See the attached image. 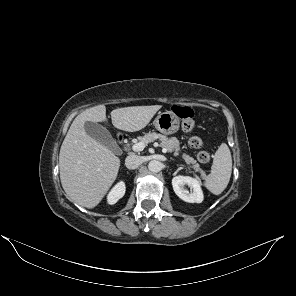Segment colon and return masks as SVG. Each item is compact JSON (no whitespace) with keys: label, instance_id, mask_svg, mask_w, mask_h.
Masks as SVG:
<instances>
[{"label":"colon","instance_id":"obj_1","mask_svg":"<svg viewBox=\"0 0 296 296\" xmlns=\"http://www.w3.org/2000/svg\"><path fill=\"white\" fill-rule=\"evenodd\" d=\"M172 112L181 118L182 129L184 131H191L195 127L194 111L189 106L174 105L172 106ZM188 145L193 149H200L203 146V141L198 136H192L188 140ZM210 154L206 151H200L197 154V159L201 163H207L210 161Z\"/></svg>","mask_w":296,"mask_h":296}]
</instances>
